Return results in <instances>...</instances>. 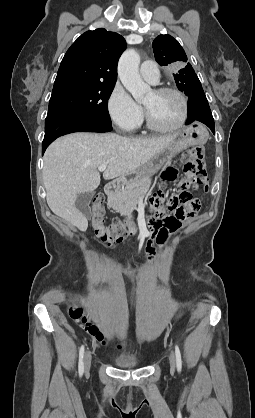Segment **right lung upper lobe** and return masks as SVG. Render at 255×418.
<instances>
[{
    "instance_id": "cb5924a9",
    "label": "right lung upper lobe",
    "mask_w": 255,
    "mask_h": 418,
    "mask_svg": "<svg viewBox=\"0 0 255 418\" xmlns=\"http://www.w3.org/2000/svg\"><path fill=\"white\" fill-rule=\"evenodd\" d=\"M125 48L118 33L103 28L83 33L67 50L54 85L69 81L115 84L118 60Z\"/></svg>"
}]
</instances>
